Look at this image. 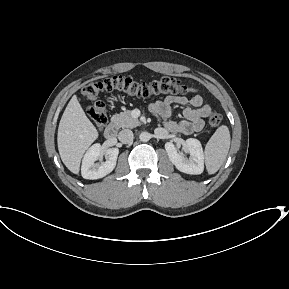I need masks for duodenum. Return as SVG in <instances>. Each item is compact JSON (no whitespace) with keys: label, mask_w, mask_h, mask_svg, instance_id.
Masks as SVG:
<instances>
[{"label":"duodenum","mask_w":289,"mask_h":289,"mask_svg":"<svg viewBox=\"0 0 289 289\" xmlns=\"http://www.w3.org/2000/svg\"><path fill=\"white\" fill-rule=\"evenodd\" d=\"M117 128L114 124H109L104 130V136L107 140H113L116 137Z\"/></svg>","instance_id":"obj_1"}]
</instances>
